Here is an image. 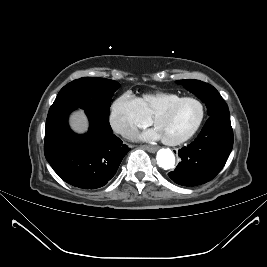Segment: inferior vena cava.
<instances>
[{
  "mask_svg": "<svg viewBox=\"0 0 267 267\" xmlns=\"http://www.w3.org/2000/svg\"><path fill=\"white\" fill-rule=\"evenodd\" d=\"M115 130L117 131V133H120L121 135L128 138H132L137 134V130L129 126H120Z\"/></svg>",
  "mask_w": 267,
  "mask_h": 267,
  "instance_id": "602c4592",
  "label": "inferior vena cava"
}]
</instances>
